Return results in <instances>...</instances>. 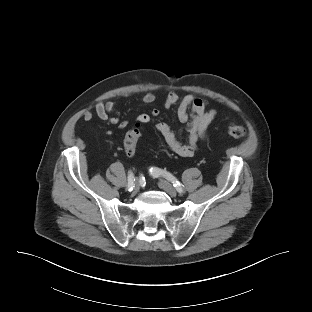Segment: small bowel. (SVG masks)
<instances>
[{
	"mask_svg": "<svg viewBox=\"0 0 312 312\" xmlns=\"http://www.w3.org/2000/svg\"><path fill=\"white\" fill-rule=\"evenodd\" d=\"M156 96L152 92L144 94L141 101L144 104H151ZM177 107L178 120L183 124V130L187 134L186 141L177 138L175 132L164 122L156 125V130L165 139L168 148L181 157H191L198 150L199 145L205 140L207 129L216 116V110L209 108L206 99L193 94H187L180 98L177 93L170 91L164 100V107L170 109ZM96 115L103 121L117 124L122 130L128 127L127 120H120L117 104L113 101L99 102L95 106ZM160 113L158 108H152L148 113H141L136 117L138 123L146 124ZM85 121L93 118V112L86 110L82 113Z\"/></svg>",
	"mask_w": 312,
	"mask_h": 312,
	"instance_id": "obj_1",
	"label": "small bowel"
}]
</instances>
